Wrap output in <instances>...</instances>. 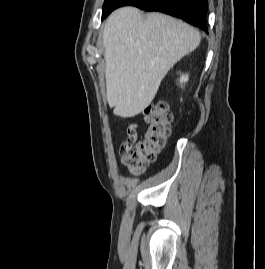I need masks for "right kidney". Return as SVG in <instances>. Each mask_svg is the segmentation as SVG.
Segmentation results:
<instances>
[{"mask_svg": "<svg viewBox=\"0 0 265 269\" xmlns=\"http://www.w3.org/2000/svg\"><path fill=\"white\" fill-rule=\"evenodd\" d=\"M188 75H182L180 77V83H186L188 81Z\"/></svg>", "mask_w": 265, "mask_h": 269, "instance_id": "right-kidney-1", "label": "right kidney"}]
</instances>
